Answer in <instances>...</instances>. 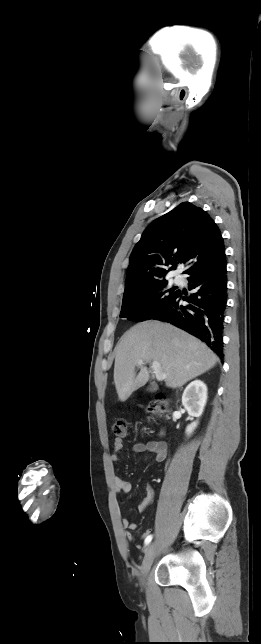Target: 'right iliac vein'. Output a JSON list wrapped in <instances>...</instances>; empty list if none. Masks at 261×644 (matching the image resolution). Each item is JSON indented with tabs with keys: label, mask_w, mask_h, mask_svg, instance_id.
<instances>
[{
	"label": "right iliac vein",
	"mask_w": 261,
	"mask_h": 644,
	"mask_svg": "<svg viewBox=\"0 0 261 644\" xmlns=\"http://www.w3.org/2000/svg\"><path fill=\"white\" fill-rule=\"evenodd\" d=\"M154 557H155V545L152 543L146 549L145 556H144L143 563H142V567H141L140 581H141L142 585H144V583H145L146 576H147L148 572L150 571V568H151V566L153 564Z\"/></svg>",
	"instance_id": "63e3f726"
}]
</instances>
